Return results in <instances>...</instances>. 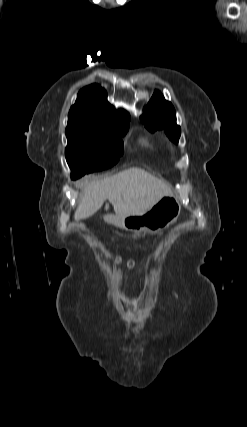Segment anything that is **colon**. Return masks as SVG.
<instances>
[{
    "label": "colon",
    "instance_id": "obj_1",
    "mask_svg": "<svg viewBox=\"0 0 247 427\" xmlns=\"http://www.w3.org/2000/svg\"><path fill=\"white\" fill-rule=\"evenodd\" d=\"M114 260H115L117 263H121V258H120V257H118V256L114 257ZM127 266H128L129 268H132V267L134 266V262H133V261H128V262H127Z\"/></svg>",
    "mask_w": 247,
    "mask_h": 427
}]
</instances>
